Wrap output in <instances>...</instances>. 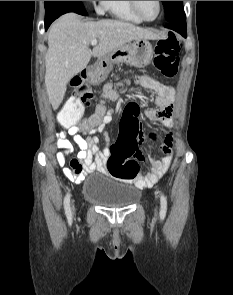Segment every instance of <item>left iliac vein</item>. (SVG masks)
Here are the masks:
<instances>
[{
	"label": "left iliac vein",
	"instance_id": "4c4485c4",
	"mask_svg": "<svg viewBox=\"0 0 233 295\" xmlns=\"http://www.w3.org/2000/svg\"><path fill=\"white\" fill-rule=\"evenodd\" d=\"M155 213H157V207L155 208Z\"/></svg>",
	"mask_w": 233,
	"mask_h": 295
}]
</instances>
